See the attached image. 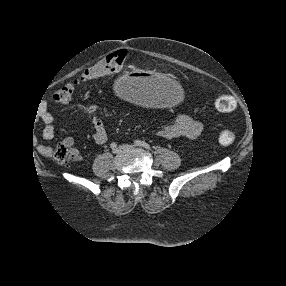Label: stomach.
Wrapping results in <instances>:
<instances>
[{
    "label": "stomach",
    "mask_w": 286,
    "mask_h": 286,
    "mask_svg": "<svg viewBox=\"0 0 286 286\" xmlns=\"http://www.w3.org/2000/svg\"><path fill=\"white\" fill-rule=\"evenodd\" d=\"M123 91L130 102L165 112L179 109L186 98L185 88L177 78L154 71L130 73L124 81Z\"/></svg>",
    "instance_id": "0dacf381"
}]
</instances>
